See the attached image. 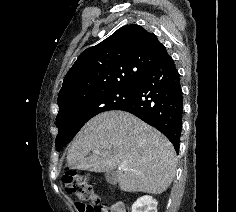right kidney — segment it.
I'll list each match as a JSON object with an SVG mask.
<instances>
[{
	"label": "right kidney",
	"mask_w": 236,
	"mask_h": 212,
	"mask_svg": "<svg viewBox=\"0 0 236 212\" xmlns=\"http://www.w3.org/2000/svg\"><path fill=\"white\" fill-rule=\"evenodd\" d=\"M158 202L152 196H143L132 205V212H157Z\"/></svg>",
	"instance_id": "ca27d5eb"
}]
</instances>
